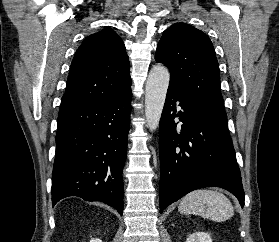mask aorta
<instances>
[{"instance_id": "aorta-1", "label": "aorta", "mask_w": 279, "mask_h": 242, "mask_svg": "<svg viewBox=\"0 0 279 242\" xmlns=\"http://www.w3.org/2000/svg\"><path fill=\"white\" fill-rule=\"evenodd\" d=\"M169 80L170 73L163 65H156L149 72L145 88V116L150 131L159 126Z\"/></svg>"}]
</instances>
